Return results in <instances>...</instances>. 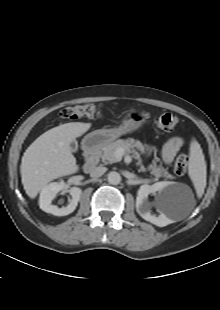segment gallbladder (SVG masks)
Instances as JSON below:
<instances>
[{"instance_id":"1","label":"gallbladder","mask_w":220,"mask_h":310,"mask_svg":"<svg viewBox=\"0 0 220 310\" xmlns=\"http://www.w3.org/2000/svg\"><path fill=\"white\" fill-rule=\"evenodd\" d=\"M70 147L72 152H76L78 150V142L76 140L71 141Z\"/></svg>"}]
</instances>
